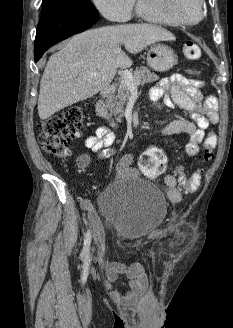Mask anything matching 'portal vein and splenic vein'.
I'll return each instance as SVG.
<instances>
[{
    "instance_id": "1",
    "label": "portal vein and splenic vein",
    "mask_w": 233,
    "mask_h": 328,
    "mask_svg": "<svg viewBox=\"0 0 233 328\" xmlns=\"http://www.w3.org/2000/svg\"><path fill=\"white\" fill-rule=\"evenodd\" d=\"M121 78L126 82L130 90H137L139 86V82H135L131 73L128 71L121 72Z\"/></svg>"
}]
</instances>
